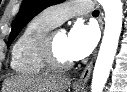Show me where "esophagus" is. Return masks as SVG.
I'll use <instances>...</instances> for the list:
<instances>
[{
	"mask_svg": "<svg viewBox=\"0 0 127 92\" xmlns=\"http://www.w3.org/2000/svg\"><path fill=\"white\" fill-rule=\"evenodd\" d=\"M94 58L89 61L81 72L79 78L74 81V87L84 88L91 74Z\"/></svg>",
	"mask_w": 127,
	"mask_h": 92,
	"instance_id": "esophagus-1",
	"label": "esophagus"
}]
</instances>
